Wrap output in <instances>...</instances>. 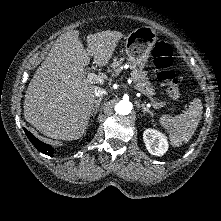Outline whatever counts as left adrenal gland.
Here are the masks:
<instances>
[{"label":"left adrenal gland","instance_id":"left-adrenal-gland-1","mask_svg":"<svg viewBox=\"0 0 221 221\" xmlns=\"http://www.w3.org/2000/svg\"><path fill=\"white\" fill-rule=\"evenodd\" d=\"M141 107H142V109H143V113H144V114H145V113H148V114H150L151 116H153L152 111H150V110L145 106V104H141Z\"/></svg>","mask_w":221,"mask_h":221}]
</instances>
